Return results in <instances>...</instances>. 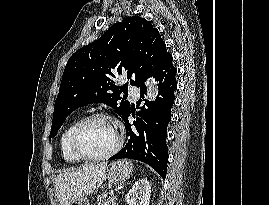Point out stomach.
Listing matches in <instances>:
<instances>
[{
  "mask_svg": "<svg viewBox=\"0 0 269 205\" xmlns=\"http://www.w3.org/2000/svg\"><path fill=\"white\" fill-rule=\"evenodd\" d=\"M133 172V164L128 160H120L111 163L105 172V179L111 184H122L130 178ZM70 205H90V202L84 198H78Z\"/></svg>",
  "mask_w": 269,
  "mask_h": 205,
  "instance_id": "obj_1",
  "label": "stomach"
}]
</instances>
